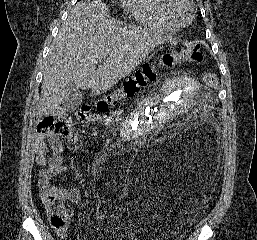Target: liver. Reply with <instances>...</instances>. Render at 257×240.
Here are the masks:
<instances>
[{"label":"liver","instance_id":"6515ba94","mask_svg":"<svg viewBox=\"0 0 257 240\" xmlns=\"http://www.w3.org/2000/svg\"><path fill=\"white\" fill-rule=\"evenodd\" d=\"M101 0H84L70 11L50 46L43 71L39 116H56L73 82L91 94L107 92L127 77L165 38L118 26ZM102 64L96 69V65Z\"/></svg>","mask_w":257,"mask_h":240}]
</instances>
